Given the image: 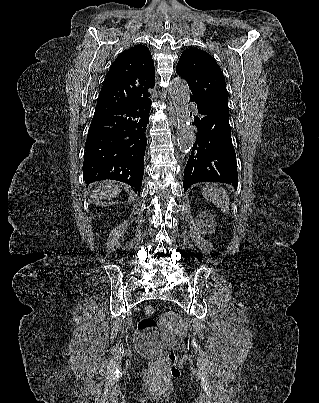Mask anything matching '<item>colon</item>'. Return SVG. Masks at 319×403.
Returning a JSON list of instances; mask_svg holds the SVG:
<instances>
[{"label": "colon", "instance_id": "colon-1", "mask_svg": "<svg viewBox=\"0 0 319 403\" xmlns=\"http://www.w3.org/2000/svg\"><path fill=\"white\" fill-rule=\"evenodd\" d=\"M155 309L152 306H147L144 309V314L138 322V329L140 331H148L156 328L157 323L153 318ZM177 356L173 350H169L163 357L153 359L149 363V367L152 370H160L167 367H171V371H174V365L176 363Z\"/></svg>", "mask_w": 319, "mask_h": 403}]
</instances>
